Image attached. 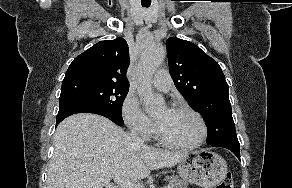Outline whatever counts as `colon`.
<instances>
[{
	"mask_svg": "<svg viewBox=\"0 0 292 188\" xmlns=\"http://www.w3.org/2000/svg\"><path fill=\"white\" fill-rule=\"evenodd\" d=\"M215 188H233V181L230 174L222 179Z\"/></svg>",
	"mask_w": 292,
	"mask_h": 188,
	"instance_id": "1",
	"label": "colon"
}]
</instances>
